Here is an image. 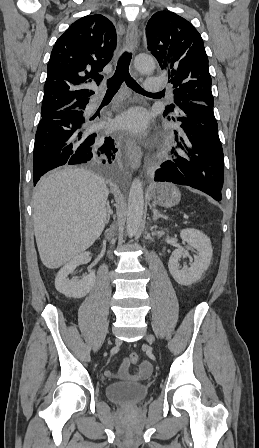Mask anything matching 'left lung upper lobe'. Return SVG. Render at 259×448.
Returning a JSON list of instances; mask_svg holds the SVG:
<instances>
[{"instance_id": "obj_1", "label": "left lung upper lobe", "mask_w": 259, "mask_h": 448, "mask_svg": "<svg viewBox=\"0 0 259 448\" xmlns=\"http://www.w3.org/2000/svg\"><path fill=\"white\" fill-rule=\"evenodd\" d=\"M146 34L148 49L174 88V104L164 113L174 115L190 103L214 106L208 57L193 25L173 12L159 11L148 21Z\"/></svg>"}]
</instances>
